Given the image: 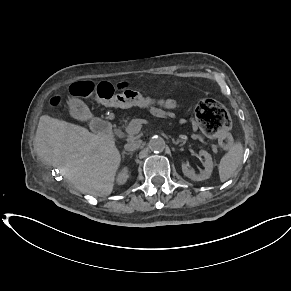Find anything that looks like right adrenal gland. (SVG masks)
Returning a JSON list of instances; mask_svg holds the SVG:
<instances>
[{
	"mask_svg": "<svg viewBox=\"0 0 291 291\" xmlns=\"http://www.w3.org/2000/svg\"><path fill=\"white\" fill-rule=\"evenodd\" d=\"M122 155H123V158L125 157V155H133V153L132 152H126V151H123L122 152Z\"/></svg>",
	"mask_w": 291,
	"mask_h": 291,
	"instance_id": "1",
	"label": "right adrenal gland"
}]
</instances>
